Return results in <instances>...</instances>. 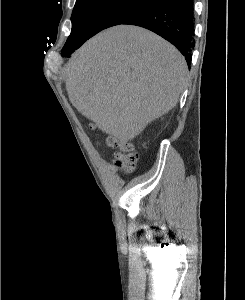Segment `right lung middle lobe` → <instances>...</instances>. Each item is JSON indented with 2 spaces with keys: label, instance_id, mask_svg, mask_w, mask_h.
<instances>
[{
  "label": "right lung middle lobe",
  "instance_id": "1",
  "mask_svg": "<svg viewBox=\"0 0 245 300\" xmlns=\"http://www.w3.org/2000/svg\"><path fill=\"white\" fill-rule=\"evenodd\" d=\"M156 0H76L71 21L72 31L62 53L103 29L119 25L142 12Z\"/></svg>",
  "mask_w": 245,
  "mask_h": 300
}]
</instances>
